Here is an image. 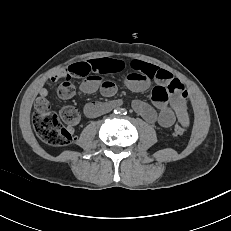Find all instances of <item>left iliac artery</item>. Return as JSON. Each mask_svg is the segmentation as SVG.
I'll use <instances>...</instances> for the list:
<instances>
[{"mask_svg": "<svg viewBox=\"0 0 231 231\" xmlns=\"http://www.w3.org/2000/svg\"><path fill=\"white\" fill-rule=\"evenodd\" d=\"M122 113H123V114H126L127 112L125 111V109H122Z\"/></svg>", "mask_w": 231, "mask_h": 231, "instance_id": "obj_1", "label": "left iliac artery"}]
</instances>
